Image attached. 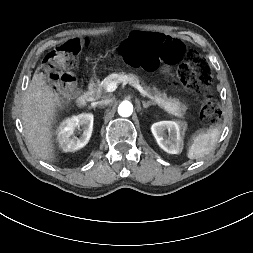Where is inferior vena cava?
Wrapping results in <instances>:
<instances>
[{"instance_id":"inferior-vena-cava-1","label":"inferior vena cava","mask_w":253,"mask_h":253,"mask_svg":"<svg viewBox=\"0 0 253 253\" xmlns=\"http://www.w3.org/2000/svg\"><path fill=\"white\" fill-rule=\"evenodd\" d=\"M109 103H110V100H109V99H104V100H101V101L98 102V104H99L100 106H104V105H107V104H109Z\"/></svg>"}]
</instances>
